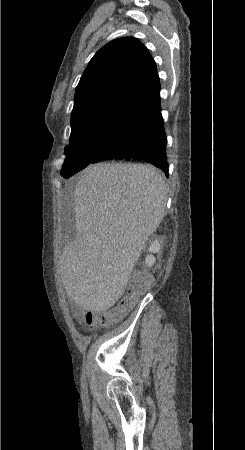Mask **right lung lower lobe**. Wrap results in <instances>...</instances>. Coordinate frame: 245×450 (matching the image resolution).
<instances>
[{
	"instance_id": "1",
	"label": "right lung lower lobe",
	"mask_w": 245,
	"mask_h": 450,
	"mask_svg": "<svg viewBox=\"0 0 245 450\" xmlns=\"http://www.w3.org/2000/svg\"><path fill=\"white\" fill-rule=\"evenodd\" d=\"M166 137L160 100L139 112L129 136L106 153H100L92 163L107 159H138L159 167L168 177Z\"/></svg>"
}]
</instances>
